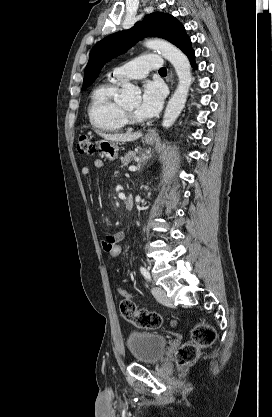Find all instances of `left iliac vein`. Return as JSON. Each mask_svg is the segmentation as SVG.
Wrapping results in <instances>:
<instances>
[{
	"instance_id": "left-iliac-vein-1",
	"label": "left iliac vein",
	"mask_w": 272,
	"mask_h": 417,
	"mask_svg": "<svg viewBox=\"0 0 272 417\" xmlns=\"http://www.w3.org/2000/svg\"><path fill=\"white\" fill-rule=\"evenodd\" d=\"M151 292L160 303L168 304L170 302L169 298L167 297L166 291L162 287H153L151 289Z\"/></svg>"
}]
</instances>
